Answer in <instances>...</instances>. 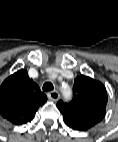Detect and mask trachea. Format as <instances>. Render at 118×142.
<instances>
[{
	"mask_svg": "<svg viewBox=\"0 0 118 142\" xmlns=\"http://www.w3.org/2000/svg\"><path fill=\"white\" fill-rule=\"evenodd\" d=\"M53 84L51 82L44 83L42 89L43 91H52L53 90Z\"/></svg>",
	"mask_w": 118,
	"mask_h": 142,
	"instance_id": "3493384b",
	"label": "trachea"
}]
</instances>
